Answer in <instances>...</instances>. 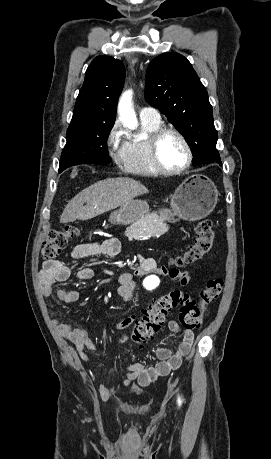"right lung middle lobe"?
<instances>
[{
	"label": "right lung middle lobe",
	"mask_w": 271,
	"mask_h": 459,
	"mask_svg": "<svg viewBox=\"0 0 271 459\" xmlns=\"http://www.w3.org/2000/svg\"><path fill=\"white\" fill-rule=\"evenodd\" d=\"M114 122V117H73L67 130V143L62 151L59 173L78 164L110 163L107 139Z\"/></svg>",
	"instance_id": "obj_1"
}]
</instances>
